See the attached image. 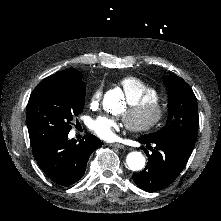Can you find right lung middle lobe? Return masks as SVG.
Masks as SVG:
<instances>
[{"mask_svg": "<svg viewBox=\"0 0 221 221\" xmlns=\"http://www.w3.org/2000/svg\"><path fill=\"white\" fill-rule=\"evenodd\" d=\"M86 87L81 75L49 76L33 90L27 105L31 146L68 135L71 121L84 107Z\"/></svg>", "mask_w": 221, "mask_h": 221, "instance_id": "1", "label": "right lung middle lobe"}]
</instances>
